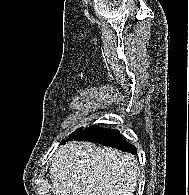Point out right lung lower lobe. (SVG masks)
Returning <instances> with one entry per match:
<instances>
[{
  "instance_id": "right-lung-lower-lobe-1",
  "label": "right lung lower lobe",
  "mask_w": 189,
  "mask_h": 195,
  "mask_svg": "<svg viewBox=\"0 0 189 195\" xmlns=\"http://www.w3.org/2000/svg\"><path fill=\"white\" fill-rule=\"evenodd\" d=\"M68 140L96 142L115 147L124 152L136 154V148L129 144L118 130L106 129L98 125L89 126ZM62 143H65V140Z\"/></svg>"
}]
</instances>
